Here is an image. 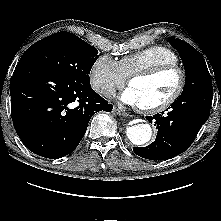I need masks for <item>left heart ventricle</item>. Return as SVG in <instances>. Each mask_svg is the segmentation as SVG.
I'll list each match as a JSON object with an SVG mask.
<instances>
[{"label":"left heart ventricle","instance_id":"left-heart-ventricle-1","mask_svg":"<svg viewBox=\"0 0 221 221\" xmlns=\"http://www.w3.org/2000/svg\"><path fill=\"white\" fill-rule=\"evenodd\" d=\"M179 75L175 71L161 73L150 78H139L131 82L139 105L152 106L166 100L177 88Z\"/></svg>","mask_w":221,"mask_h":221}]
</instances>
